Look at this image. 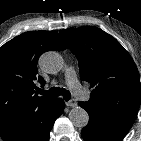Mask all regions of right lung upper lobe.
Instances as JSON below:
<instances>
[{
    "label": "right lung upper lobe",
    "instance_id": "cb5924a9",
    "mask_svg": "<svg viewBox=\"0 0 141 141\" xmlns=\"http://www.w3.org/2000/svg\"><path fill=\"white\" fill-rule=\"evenodd\" d=\"M65 41L55 31H30L0 48V129L16 116L45 107L53 98L35 94L38 58L45 51H62Z\"/></svg>",
    "mask_w": 141,
    "mask_h": 141
}]
</instances>
